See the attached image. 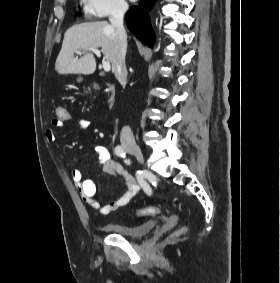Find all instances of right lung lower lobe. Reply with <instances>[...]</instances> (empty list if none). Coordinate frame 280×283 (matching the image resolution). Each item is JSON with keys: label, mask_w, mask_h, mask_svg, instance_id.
Segmentation results:
<instances>
[{"label": "right lung lower lobe", "mask_w": 280, "mask_h": 283, "mask_svg": "<svg viewBox=\"0 0 280 283\" xmlns=\"http://www.w3.org/2000/svg\"><path fill=\"white\" fill-rule=\"evenodd\" d=\"M156 0H143L137 6L131 7L126 13V24L128 29L141 42L152 48L154 44V35L150 27L148 11L154 5Z\"/></svg>", "instance_id": "right-lung-lower-lobe-1"}]
</instances>
